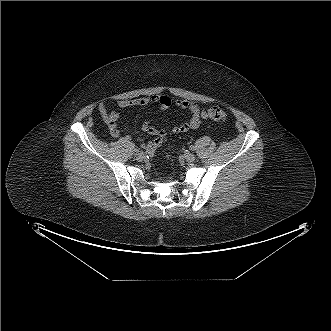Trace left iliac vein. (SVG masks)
Listing matches in <instances>:
<instances>
[{
	"instance_id": "left-iliac-vein-1",
	"label": "left iliac vein",
	"mask_w": 331,
	"mask_h": 331,
	"mask_svg": "<svg viewBox=\"0 0 331 331\" xmlns=\"http://www.w3.org/2000/svg\"><path fill=\"white\" fill-rule=\"evenodd\" d=\"M183 158H184L187 162H189V163H192V162L195 161V156H194L193 154H191V153H185V154L183 155Z\"/></svg>"
}]
</instances>
